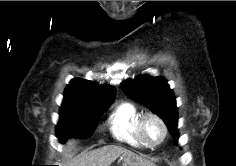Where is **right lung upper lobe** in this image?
<instances>
[{
	"instance_id": "1",
	"label": "right lung upper lobe",
	"mask_w": 236,
	"mask_h": 166,
	"mask_svg": "<svg viewBox=\"0 0 236 166\" xmlns=\"http://www.w3.org/2000/svg\"><path fill=\"white\" fill-rule=\"evenodd\" d=\"M115 93L114 86L99 85L95 81L74 78L65 89L63 104L106 107L112 104Z\"/></svg>"
}]
</instances>
